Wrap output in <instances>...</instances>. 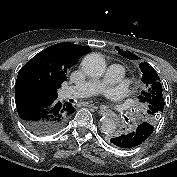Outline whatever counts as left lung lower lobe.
<instances>
[{"label":"left lung lower lobe","mask_w":177,"mask_h":177,"mask_svg":"<svg viewBox=\"0 0 177 177\" xmlns=\"http://www.w3.org/2000/svg\"><path fill=\"white\" fill-rule=\"evenodd\" d=\"M154 126L146 121L139 124L133 131L113 136L110 142L123 149H131L141 145L153 132Z\"/></svg>","instance_id":"obj_1"}]
</instances>
